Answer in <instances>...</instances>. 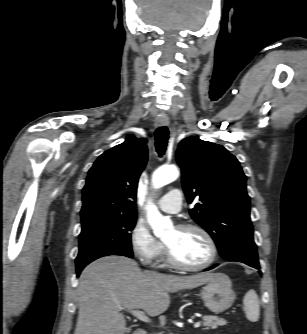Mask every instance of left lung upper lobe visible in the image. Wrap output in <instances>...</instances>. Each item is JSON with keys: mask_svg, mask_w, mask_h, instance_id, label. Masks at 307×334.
<instances>
[{"mask_svg": "<svg viewBox=\"0 0 307 334\" xmlns=\"http://www.w3.org/2000/svg\"><path fill=\"white\" fill-rule=\"evenodd\" d=\"M176 158L188 203L200 201L190 215L212 236L220 255L227 256L239 240H253L246 176L236 157L221 145L188 137Z\"/></svg>", "mask_w": 307, "mask_h": 334, "instance_id": "left-lung-upper-lobe-1", "label": "left lung upper lobe"}]
</instances>
